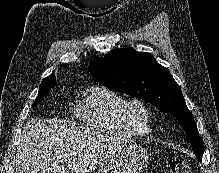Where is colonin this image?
Returning <instances> with one entry per match:
<instances>
[{
    "mask_svg": "<svg viewBox=\"0 0 219 173\" xmlns=\"http://www.w3.org/2000/svg\"><path fill=\"white\" fill-rule=\"evenodd\" d=\"M169 169L170 173H189L188 164L181 158L171 159Z\"/></svg>",
    "mask_w": 219,
    "mask_h": 173,
    "instance_id": "colon-1",
    "label": "colon"
}]
</instances>
